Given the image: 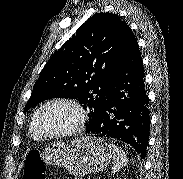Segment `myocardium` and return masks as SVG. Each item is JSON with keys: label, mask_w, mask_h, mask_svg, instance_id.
<instances>
[{"label": "myocardium", "mask_w": 183, "mask_h": 179, "mask_svg": "<svg viewBox=\"0 0 183 179\" xmlns=\"http://www.w3.org/2000/svg\"><path fill=\"white\" fill-rule=\"evenodd\" d=\"M54 104H66L72 107L77 115V119L75 124L69 128L66 131L60 132V133H54V134H48L45 133L42 128H41V117L44 111L51 105ZM86 121V112L81 105L80 102H78L75 99L72 98H67V97H59V98H54L49 101H47L41 108L38 110L37 116H36V129L37 132L41 135L43 138H48V139H57V138H64V137H69L77 132H79L82 127L84 126Z\"/></svg>", "instance_id": "1"}]
</instances>
